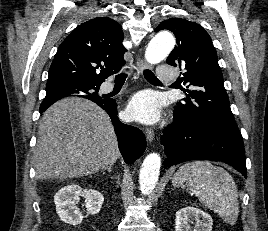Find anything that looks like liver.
<instances>
[{
    "instance_id": "6515ba94",
    "label": "liver",
    "mask_w": 268,
    "mask_h": 231,
    "mask_svg": "<svg viewBox=\"0 0 268 231\" xmlns=\"http://www.w3.org/2000/svg\"><path fill=\"white\" fill-rule=\"evenodd\" d=\"M119 157L111 120L97 104L65 98L44 112L33 157L37 179L88 176Z\"/></svg>"
}]
</instances>
